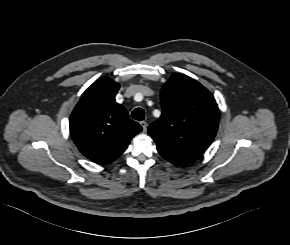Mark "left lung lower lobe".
<instances>
[{"instance_id":"0a47b994","label":"left lung lower lobe","mask_w":290,"mask_h":245,"mask_svg":"<svg viewBox=\"0 0 290 245\" xmlns=\"http://www.w3.org/2000/svg\"><path fill=\"white\" fill-rule=\"evenodd\" d=\"M159 153L166 159V160H168L169 162H171V163H173L174 165H176V166H180V167H182V166H185V165H187L188 163H184V162H181V161H178V160H174V159H171V158H169V157H167V156H165L162 152H160L159 151Z\"/></svg>"}]
</instances>
